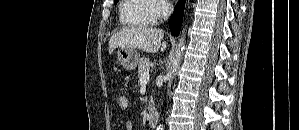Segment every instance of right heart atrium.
<instances>
[{"label":"right heart atrium","instance_id":"obj_1","mask_svg":"<svg viewBox=\"0 0 299 130\" xmlns=\"http://www.w3.org/2000/svg\"><path fill=\"white\" fill-rule=\"evenodd\" d=\"M155 16L157 19L163 18L168 15L171 9V5L165 0H155Z\"/></svg>","mask_w":299,"mask_h":130}]
</instances>
